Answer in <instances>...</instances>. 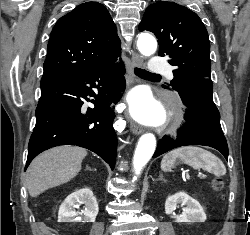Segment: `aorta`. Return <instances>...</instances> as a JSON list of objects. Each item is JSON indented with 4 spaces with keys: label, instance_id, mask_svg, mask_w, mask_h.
I'll list each match as a JSON object with an SVG mask.
<instances>
[{
    "label": "aorta",
    "instance_id": "1",
    "mask_svg": "<svg viewBox=\"0 0 250 235\" xmlns=\"http://www.w3.org/2000/svg\"><path fill=\"white\" fill-rule=\"evenodd\" d=\"M137 47L144 56H151L157 49L155 38L149 34H141L137 41ZM156 148V139L153 134H144L139 139L133 157V166L136 175H139L142 168L152 157Z\"/></svg>",
    "mask_w": 250,
    "mask_h": 235
}]
</instances>
